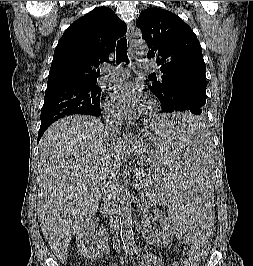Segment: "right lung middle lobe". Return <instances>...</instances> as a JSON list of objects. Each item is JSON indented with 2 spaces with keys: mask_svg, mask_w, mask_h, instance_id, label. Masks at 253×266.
Returning <instances> with one entry per match:
<instances>
[{
  "mask_svg": "<svg viewBox=\"0 0 253 266\" xmlns=\"http://www.w3.org/2000/svg\"><path fill=\"white\" fill-rule=\"evenodd\" d=\"M101 88L96 82L68 84L46 90L41 110V126L73 114H97L100 111Z\"/></svg>",
  "mask_w": 253,
  "mask_h": 266,
  "instance_id": "dd1d6c3e",
  "label": "right lung middle lobe"
}]
</instances>
